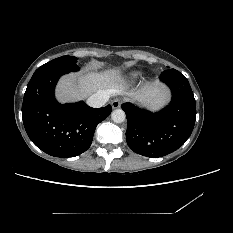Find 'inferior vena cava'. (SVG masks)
<instances>
[{
  "mask_svg": "<svg viewBox=\"0 0 233 233\" xmlns=\"http://www.w3.org/2000/svg\"><path fill=\"white\" fill-rule=\"evenodd\" d=\"M109 100V94L105 91L97 92L87 99V104L93 108H100Z\"/></svg>",
  "mask_w": 233,
  "mask_h": 233,
  "instance_id": "1",
  "label": "inferior vena cava"
}]
</instances>
